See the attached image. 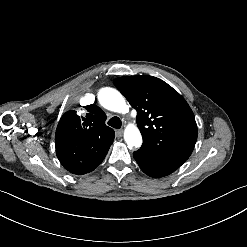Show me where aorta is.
<instances>
[{
  "mask_svg": "<svg viewBox=\"0 0 247 247\" xmlns=\"http://www.w3.org/2000/svg\"><path fill=\"white\" fill-rule=\"evenodd\" d=\"M98 100L104 108L113 112L126 113L129 110L122 94L114 88H102L98 93ZM124 139L130 149L142 145L141 133L135 125H128L125 128Z\"/></svg>",
  "mask_w": 247,
  "mask_h": 247,
  "instance_id": "762f6f07",
  "label": "aorta"
}]
</instances>
